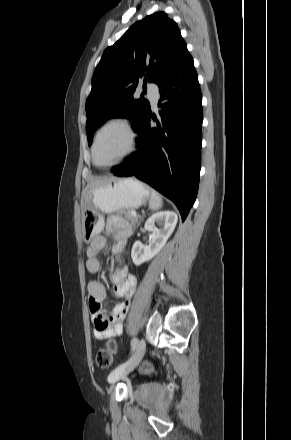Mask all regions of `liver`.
I'll return each mask as SVG.
<instances>
[{
  "mask_svg": "<svg viewBox=\"0 0 291 440\" xmlns=\"http://www.w3.org/2000/svg\"><path fill=\"white\" fill-rule=\"evenodd\" d=\"M113 179H114V178H106V179H102V180L95 181V182H93V183L88 184L87 187H86V189H85L84 192H83V195H82V201H84V196H85L86 192L88 191V189H90V188H92V187H95V186H98V185L105 184V183H107V182H109V181H112Z\"/></svg>",
  "mask_w": 291,
  "mask_h": 440,
  "instance_id": "liver-1",
  "label": "liver"
}]
</instances>
